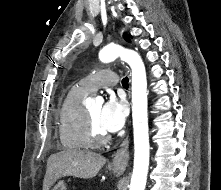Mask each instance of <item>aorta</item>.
Segmentation results:
<instances>
[{
    "mask_svg": "<svg viewBox=\"0 0 221 190\" xmlns=\"http://www.w3.org/2000/svg\"><path fill=\"white\" fill-rule=\"evenodd\" d=\"M117 58L132 70V119L134 134V166L129 190H145L149 168V133L147 114V79L140 55L119 45H108L99 52V59L109 63Z\"/></svg>",
    "mask_w": 221,
    "mask_h": 190,
    "instance_id": "obj_1",
    "label": "aorta"
}]
</instances>
